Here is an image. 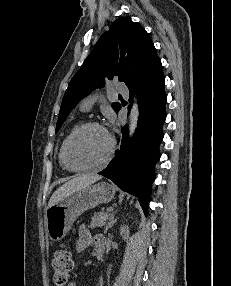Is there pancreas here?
Wrapping results in <instances>:
<instances>
[{"label": "pancreas", "instance_id": "obj_1", "mask_svg": "<svg viewBox=\"0 0 231 286\" xmlns=\"http://www.w3.org/2000/svg\"><path fill=\"white\" fill-rule=\"evenodd\" d=\"M108 217H109V212L100 211L95 213L94 216L91 218V223L89 225V228L104 226Z\"/></svg>", "mask_w": 231, "mask_h": 286}]
</instances>
